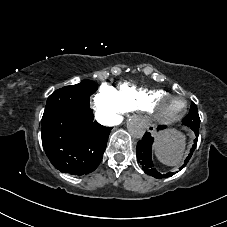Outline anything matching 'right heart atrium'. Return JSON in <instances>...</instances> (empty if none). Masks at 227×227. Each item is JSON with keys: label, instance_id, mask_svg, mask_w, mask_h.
<instances>
[{"label": "right heart atrium", "instance_id": "right-heart-atrium-1", "mask_svg": "<svg viewBox=\"0 0 227 227\" xmlns=\"http://www.w3.org/2000/svg\"><path fill=\"white\" fill-rule=\"evenodd\" d=\"M92 108L100 123L107 126L118 124L125 111L120 104L115 89L108 84H102L97 90Z\"/></svg>", "mask_w": 227, "mask_h": 227}]
</instances>
